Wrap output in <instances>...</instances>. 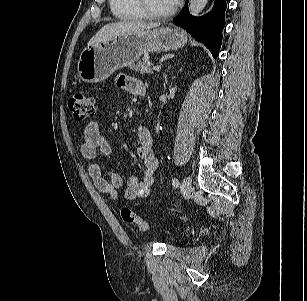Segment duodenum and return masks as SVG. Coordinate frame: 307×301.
Instances as JSON below:
<instances>
[{
    "label": "duodenum",
    "instance_id": "410a0bca",
    "mask_svg": "<svg viewBox=\"0 0 307 301\" xmlns=\"http://www.w3.org/2000/svg\"><path fill=\"white\" fill-rule=\"evenodd\" d=\"M139 95H141V96H146V90H145V88H141L140 90H139Z\"/></svg>",
    "mask_w": 307,
    "mask_h": 301
}]
</instances>
